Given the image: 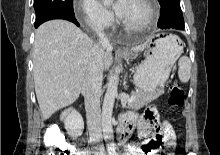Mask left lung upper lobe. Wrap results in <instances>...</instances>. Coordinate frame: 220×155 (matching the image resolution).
I'll use <instances>...</instances> for the list:
<instances>
[{
	"label": "left lung upper lobe",
	"instance_id": "1",
	"mask_svg": "<svg viewBox=\"0 0 220 155\" xmlns=\"http://www.w3.org/2000/svg\"><path fill=\"white\" fill-rule=\"evenodd\" d=\"M160 5H167V4H171V3H180V0H158Z\"/></svg>",
	"mask_w": 220,
	"mask_h": 155
}]
</instances>
